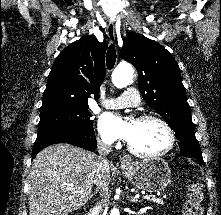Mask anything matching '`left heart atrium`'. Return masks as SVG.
Here are the masks:
<instances>
[{
    "label": "left heart atrium",
    "instance_id": "39dd6f15",
    "mask_svg": "<svg viewBox=\"0 0 221 215\" xmlns=\"http://www.w3.org/2000/svg\"><path fill=\"white\" fill-rule=\"evenodd\" d=\"M99 129L108 140L121 138L129 141L134 132V122H125L119 116L105 114L99 121Z\"/></svg>",
    "mask_w": 221,
    "mask_h": 215
}]
</instances>
